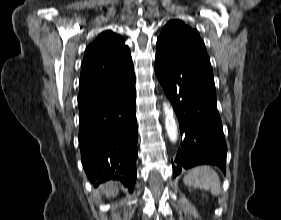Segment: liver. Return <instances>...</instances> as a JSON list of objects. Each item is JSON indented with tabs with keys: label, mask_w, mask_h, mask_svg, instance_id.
Returning <instances> with one entry per match:
<instances>
[{
	"label": "liver",
	"mask_w": 281,
	"mask_h": 220,
	"mask_svg": "<svg viewBox=\"0 0 281 220\" xmlns=\"http://www.w3.org/2000/svg\"><path fill=\"white\" fill-rule=\"evenodd\" d=\"M103 192L106 194V197H114L117 195L118 190L114 182L109 181L103 186Z\"/></svg>",
	"instance_id": "6515ba94"
}]
</instances>
